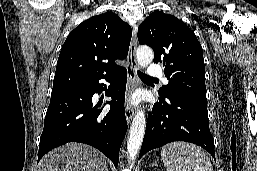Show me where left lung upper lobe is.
<instances>
[{"mask_svg": "<svg viewBox=\"0 0 257 171\" xmlns=\"http://www.w3.org/2000/svg\"><path fill=\"white\" fill-rule=\"evenodd\" d=\"M138 40L153 49L155 63L164 64L169 83L159 89L161 97L184 94L206 100L202 47L185 23L156 11L139 26Z\"/></svg>", "mask_w": 257, "mask_h": 171, "instance_id": "5c2ea615", "label": "left lung upper lobe"}]
</instances>
